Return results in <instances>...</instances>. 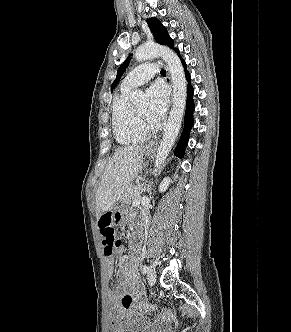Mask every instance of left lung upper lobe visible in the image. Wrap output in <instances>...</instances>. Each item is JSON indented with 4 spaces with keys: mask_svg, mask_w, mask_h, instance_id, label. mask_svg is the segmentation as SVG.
Instances as JSON below:
<instances>
[{
    "mask_svg": "<svg viewBox=\"0 0 291 332\" xmlns=\"http://www.w3.org/2000/svg\"><path fill=\"white\" fill-rule=\"evenodd\" d=\"M147 24L151 32L153 33L156 42H158L159 44L168 45L170 48H173L174 46L173 40L169 37L166 28L160 23V21L157 18L153 17L148 19ZM130 60L131 58H127L123 62V64L119 67L116 79L111 85V91L115 88V86L119 82L122 74L124 73L125 69L128 67Z\"/></svg>",
    "mask_w": 291,
    "mask_h": 332,
    "instance_id": "1",
    "label": "left lung upper lobe"
}]
</instances>
